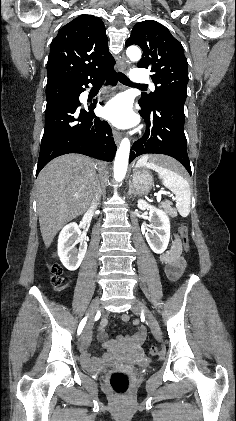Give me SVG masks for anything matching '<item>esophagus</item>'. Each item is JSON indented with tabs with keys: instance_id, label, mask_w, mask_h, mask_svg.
Returning a JSON list of instances; mask_svg holds the SVG:
<instances>
[{
	"instance_id": "34e87169",
	"label": "esophagus",
	"mask_w": 236,
	"mask_h": 421,
	"mask_svg": "<svg viewBox=\"0 0 236 421\" xmlns=\"http://www.w3.org/2000/svg\"><path fill=\"white\" fill-rule=\"evenodd\" d=\"M123 59H124V56H123ZM128 69H129V64L125 62L122 70H123V72H127ZM113 137H114L116 145H118L121 141L122 134L118 130H114L113 131Z\"/></svg>"
}]
</instances>
